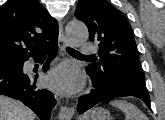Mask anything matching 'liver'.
Instances as JSON below:
<instances>
[{
  "instance_id": "1",
  "label": "liver",
  "mask_w": 165,
  "mask_h": 120,
  "mask_svg": "<svg viewBox=\"0 0 165 120\" xmlns=\"http://www.w3.org/2000/svg\"><path fill=\"white\" fill-rule=\"evenodd\" d=\"M0 120H35V114L20 101L0 96Z\"/></svg>"
}]
</instances>
